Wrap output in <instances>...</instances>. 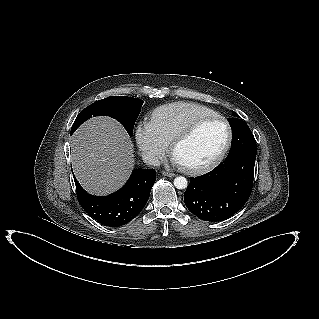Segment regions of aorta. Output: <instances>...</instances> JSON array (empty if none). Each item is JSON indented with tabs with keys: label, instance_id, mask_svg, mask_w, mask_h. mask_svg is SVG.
Segmentation results:
<instances>
[{
	"label": "aorta",
	"instance_id": "1",
	"mask_svg": "<svg viewBox=\"0 0 319 319\" xmlns=\"http://www.w3.org/2000/svg\"><path fill=\"white\" fill-rule=\"evenodd\" d=\"M174 185L177 189H185L188 185L187 179L183 176L174 179Z\"/></svg>",
	"mask_w": 319,
	"mask_h": 319
}]
</instances>
